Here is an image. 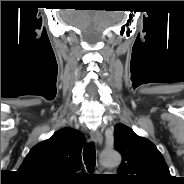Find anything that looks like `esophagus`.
I'll return each instance as SVG.
<instances>
[{"mask_svg": "<svg viewBox=\"0 0 184 184\" xmlns=\"http://www.w3.org/2000/svg\"><path fill=\"white\" fill-rule=\"evenodd\" d=\"M90 135H91V139L94 141V142H96V143H98V144H102V142H103V137H102V135L100 134V132L98 131V130H92L91 132H90Z\"/></svg>", "mask_w": 184, "mask_h": 184, "instance_id": "1", "label": "esophagus"}]
</instances>
